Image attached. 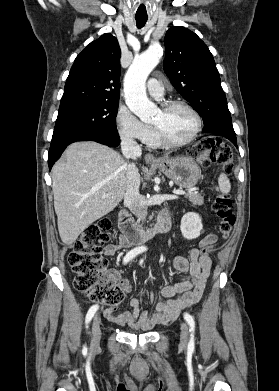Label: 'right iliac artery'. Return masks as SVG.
Here are the masks:
<instances>
[{
    "label": "right iliac artery",
    "instance_id": "obj_1",
    "mask_svg": "<svg viewBox=\"0 0 279 391\" xmlns=\"http://www.w3.org/2000/svg\"><path fill=\"white\" fill-rule=\"evenodd\" d=\"M144 250H145V248H143V247H137V248L132 249L131 251H129L125 255V257L123 259V263L124 264L128 263L130 260H132L138 254L142 253ZM97 310H98V305H93L88 310L87 315H86V320H85L87 328H88L89 322L91 321V319L93 318V316H94V314L96 313ZM84 349H86V347H84Z\"/></svg>",
    "mask_w": 279,
    "mask_h": 391
}]
</instances>
